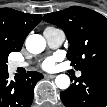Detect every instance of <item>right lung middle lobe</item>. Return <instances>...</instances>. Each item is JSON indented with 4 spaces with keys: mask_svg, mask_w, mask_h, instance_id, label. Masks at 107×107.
<instances>
[{
    "mask_svg": "<svg viewBox=\"0 0 107 107\" xmlns=\"http://www.w3.org/2000/svg\"><path fill=\"white\" fill-rule=\"evenodd\" d=\"M7 57H8V54H5L0 57V70L7 69V65H6Z\"/></svg>",
    "mask_w": 107,
    "mask_h": 107,
    "instance_id": "obj_1",
    "label": "right lung middle lobe"
}]
</instances>
